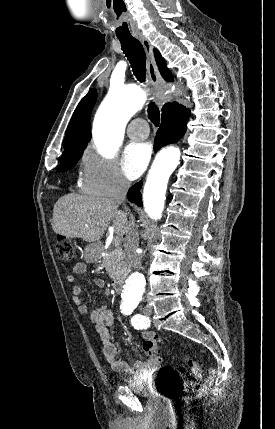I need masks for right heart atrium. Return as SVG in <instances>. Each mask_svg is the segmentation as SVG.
<instances>
[{
	"instance_id": "d8ad5b80",
	"label": "right heart atrium",
	"mask_w": 275,
	"mask_h": 429,
	"mask_svg": "<svg viewBox=\"0 0 275 429\" xmlns=\"http://www.w3.org/2000/svg\"><path fill=\"white\" fill-rule=\"evenodd\" d=\"M80 176L83 190L95 196L111 197L129 187L116 160L105 158L92 148L81 156Z\"/></svg>"
}]
</instances>
